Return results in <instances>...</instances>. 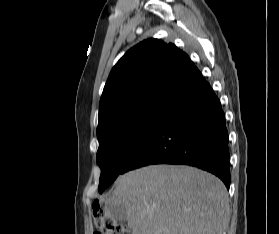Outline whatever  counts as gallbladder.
I'll return each instance as SVG.
<instances>
[{"instance_id":"bac80fb5","label":"gallbladder","mask_w":279,"mask_h":234,"mask_svg":"<svg viewBox=\"0 0 279 234\" xmlns=\"http://www.w3.org/2000/svg\"><path fill=\"white\" fill-rule=\"evenodd\" d=\"M106 212L108 215L118 221H126L127 216L125 209L122 205H107Z\"/></svg>"}]
</instances>
